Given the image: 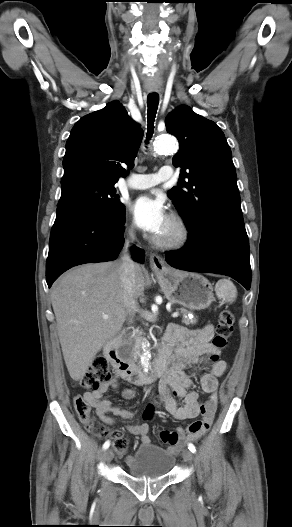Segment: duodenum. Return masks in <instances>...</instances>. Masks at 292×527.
<instances>
[{
	"instance_id": "1",
	"label": "duodenum",
	"mask_w": 292,
	"mask_h": 527,
	"mask_svg": "<svg viewBox=\"0 0 292 527\" xmlns=\"http://www.w3.org/2000/svg\"><path fill=\"white\" fill-rule=\"evenodd\" d=\"M106 354L110 358L116 371L120 373L123 378L136 385H143L167 372L170 349L167 344L161 346L158 357L152 363L148 373L141 370L131 360L123 356L121 340L119 337H115L107 343Z\"/></svg>"
}]
</instances>
